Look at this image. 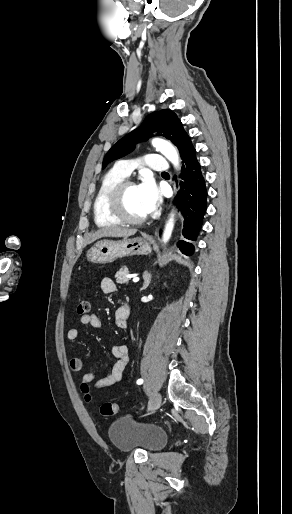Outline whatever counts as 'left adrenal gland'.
I'll use <instances>...</instances> for the list:
<instances>
[{"mask_svg": "<svg viewBox=\"0 0 292 514\" xmlns=\"http://www.w3.org/2000/svg\"><path fill=\"white\" fill-rule=\"evenodd\" d=\"M143 280H144V284H143V288H141V290H146L147 286H149V284L151 282V274H148V272H144Z\"/></svg>", "mask_w": 292, "mask_h": 514, "instance_id": "obj_1", "label": "left adrenal gland"}]
</instances>
